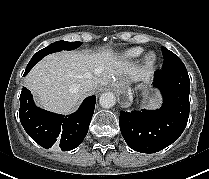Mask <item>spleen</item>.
<instances>
[{
  "label": "spleen",
  "instance_id": "1",
  "mask_svg": "<svg viewBox=\"0 0 209 179\" xmlns=\"http://www.w3.org/2000/svg\"><path fill=\"white\" fill-rule=\"evenodd\" d=\"M151 106H153V107L158 106V102H157V100H156V99H153V100H152V102H151Z\"/></svg>",
  "mask_w": 209,
  "mask_h": 179
}]
</instances>
